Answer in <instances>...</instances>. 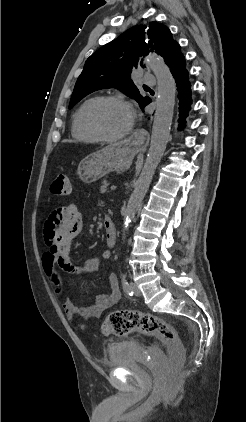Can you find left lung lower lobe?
<instances>
[{
	"mask_svg": "<svg viewBox=\"0 0 246 422\" xmlns=\"http://www.w3.org/2000/svg\"><path fill=\"white\" fill-rule=\"evenodd\" d=\"M168 67L177 83L178 99H179V129L185 126V119L191 109V85L188 81L189 73L186 69V60L180 50V45L177 46L173 56L168 62ZM151 103L149 100L148 104ZM147 104V105H148Z\"/></svg>",
	"mask_w": 246,
	"mask_h": 422,
	"instance_id": "1",
	"label": "left lung lower lobe"
}]
</instances>
